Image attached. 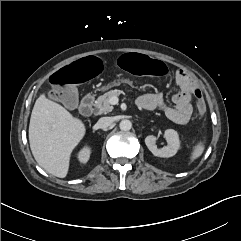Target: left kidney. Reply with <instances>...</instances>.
Segmentation results:
<instances>
[{"label": "left kidney", "mask_w": 241, "mask_h": 241, "mask_svg": "<svg viewBox=\"0 0 241 241\" xmlns=\"http://www.w3.org/2000/svg\"><path fill=\"white\" fill-rule=\"evenodd\" d=\"M165 139L167 141V146L158 149L156 145V137L154 135H149L145 138V144L153 155L157 157L169 158L174 156L179 147L180 141L178 133L173 129H167L164 133Z\"/></svg>", "instance_id": "left-kidney-1"}]
</instances>
